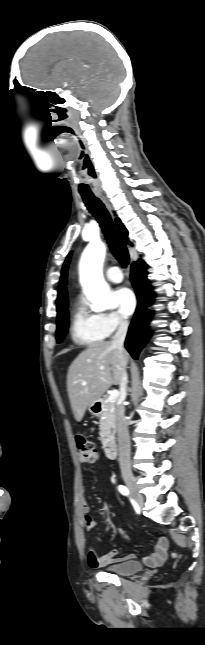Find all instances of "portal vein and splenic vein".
<instances>
[{"label":"portal vein and splenic vein","mask_w":205,"mask_h":645,"mask_svg":"<svg viewBox=\"0 0 205 645\" xmlns=\"http://www.w3.org/2000/svg\"><path fill=\"white\" fill-rule=\"evenodd\" d=\"M119 396V392L117 390L112 391V393L108 397V401L110 402H115Z\"/></svg>","instance_id":"1"}]
</instances>
